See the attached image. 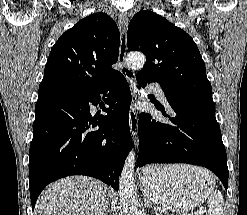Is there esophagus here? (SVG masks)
Instances as JSON below:
<instances>
[{
  "label": "esophagus",
  "instance_id": "34e87169",
  "mask_svg": "<svg viewBox=\"0 0 247 215\" xmlns=\"http://www.w3.org/2000/svg\"><path fill=\"white\" fill-rule=\"evenodd\" d=\"M128 17L125 14L119 16L118 27L120 30V48L118 62L121 65V71L126 78L131 92H132V103L129 114V124L132 139L134 143L138 140V117L134 108V104L137 102V92L135 89V73L126 65V51H127V29H128Z\"/></svg>",
  "mask_w": 247,
  "mask_h": 215
}]
</instances>
